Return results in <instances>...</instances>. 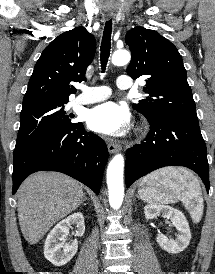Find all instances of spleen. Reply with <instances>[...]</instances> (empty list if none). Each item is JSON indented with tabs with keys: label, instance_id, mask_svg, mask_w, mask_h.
I'll return each mask as SVG.
<instances>
[{
	"label": "spleen",
	"instance_id": "obj_1",
	"mask_svg": "<svg viewBox=\"0 0 215 274\" xmlns=\"http://www.w3.org/2000/svg\"><path fill=\"white\" fill-rule=\"evenodd\" d=\"M139 188L150 204L182 201L184 206L199 216L203 212V197L198 179L187 169L168 167L145 176Z\"/></svg>",
	"mask_w": 215,
	"mask_h": 274
}]
</instances>
